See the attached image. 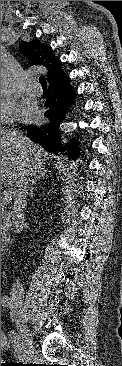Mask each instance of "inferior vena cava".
<instances>
[{
	"label": "inferior vena cava",
	"mask_w": 122,
	"mask_h": 366,
	"mask_svg": "<svg viewBox=\"0 0 122 366\" xmlns=\"http://www.w3.org/2000/svg\"><path fill=\"white\" fill-rule=\"evenodd\" d=\"M29 174H23L16 182L13 196L15 198L12 209V223L16 229L22 228L25 221L24 210L27 205ZM12 297L22 299L24 296L23 287L20 283L14 284L11 289Z\"/></svg>",
	"instance_id": "602c4592"
}]
</instances>
